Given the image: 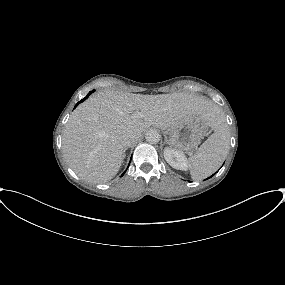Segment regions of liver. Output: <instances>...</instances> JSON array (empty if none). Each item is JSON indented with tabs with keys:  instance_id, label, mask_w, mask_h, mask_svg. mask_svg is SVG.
Returning <instances> with one entry per match:
<instances>
[{
	"instance_id": "obj_1",
	"label": "liver",
	"mask_w": 285,
	"mask_h": 285,
	"mask_svg": "<svg viewBox=\"0 0 285 285\" xmlns=\"http://www.w3.org/2000/svg\"><path fill=\"white\" fill-rule=\"evenodd\" d=\"M218 107L188 93L142 95L103 91L89 97L70 116L62 136L64 157L83 180L104 183L119 171L125 134L141 136L150 126L166 130L195 114L210 124Z\"/></svg>"
}]
</instances>
